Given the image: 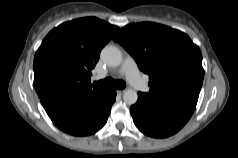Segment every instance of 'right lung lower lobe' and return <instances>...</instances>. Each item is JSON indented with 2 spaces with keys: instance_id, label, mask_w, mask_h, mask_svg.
I'll return each instance as SVG.
<instances>
[{
  "instance_id": "1",
  "label": "right lung lower lobe",
  "mask_w": 238,
  "mask_h": 158,
  "mask_svg": "<svg viewBox=\"0 0 238 158\" xmlns=\"http://www.w3.org/2000/svg\"><path fill=\"white\" fill-rule=\"evenodd\" d=\"M39 97L48 116L58 128L71 135L86 136L105 125L116 99V91L49 92Z\"/></svg>"
}]
</instances>
